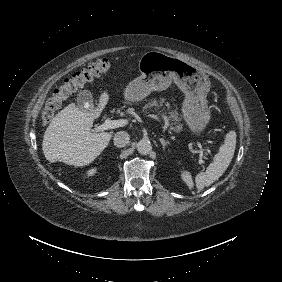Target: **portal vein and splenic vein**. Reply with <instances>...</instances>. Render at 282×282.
Returning <instances> with one entry per match:
<instances>
[{
    "instance_id": "portal-vein-and-splenic-vein-1",
    "label": "portal vein and splenic vein",
    "mask_w": 282,
    "mask_h": 282,
    "mask_svg": "<svg viewBox=\"0 0 282 282\" xmlns=\"http://www.w3.org/2000/svg\"><path fill=\"white\" fill-rule=\"evenodd\" d=\"M150 118H152V121H156V122H159L160 124H163L162 119L153 118V114H150ZM127 124H128L127 119L111 120L108 118L105 120V122L102 125L98 126L95 130L99 132V131H104L108 129L124 127ZM163 127H166V124H163ZM195 143H196V148L205 152L210 157L211 161L215 160V157H214L215 151L213 150L211 145H209L208 143H205L204 141L200 142L199 139H196Z\"/></svg>"
}]
</instances>
